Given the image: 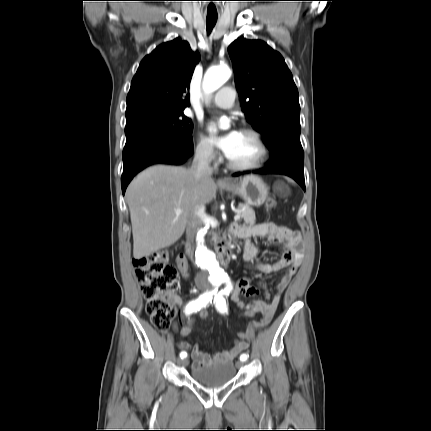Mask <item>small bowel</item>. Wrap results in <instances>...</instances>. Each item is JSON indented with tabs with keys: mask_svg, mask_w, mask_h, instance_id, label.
<instances>
[{
	"mask_svg": "<svg viewBox=\"0 0 431 431\" xmlns=\"http://www.w3.org/2000/svg\"><path fill=\"white\" fill-rule=\"evenodd\" d=\"M232 229L236 236L245 239L243 257L247 262L255 260L258 255V248L248 240L251 237H267L271 243L283 244L284 251L278 261L274 263L256 262L253 268L263 274H272L283 269L286 270L276 286V294L273 296L270 303H266L262 300H254L250 303H245L242 299L243 297H255L258 295L260 289L265 290L266 286L262 282H258V287H255L252 285V279L244 276L239 278L235 284L230 285L229 295L232 301L243 310H254L255 315H260V319L253 322L252 329L246 333L245 339H238L235 341L229 350L210 354L203 351L198 345H195L191 350L193 367H203L215 363L229 362L247 349L248 342L253 332L270 323L280 303L281 294L288 286L301 263V237L296 231L278 226L272 222H262L253 226L235 225ZM177 264L182 276L187 279L189 274L186 262L183 258L178 257ZM170 301L174 306H182V300L176 294H170ZM173 329L174 331H178L176 322L173 323ZM178 347L182 352L187 353L186 350L190 348V345L187 342H179Z\"/></svg>",
	"mask_w": 431,
	"mask_h": 431,
	"instance_id": "c3829d8e",
	"label": "small bowel"
}]
</instances>
